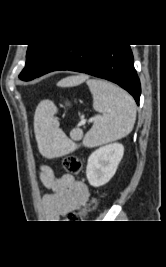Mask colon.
Here are the masks:
<instances>
[{"label": "colon", "instance_id": "obj_1", "mask_svg": "<svg viewBox=\"0 0 166 267\" xmlns=\"http://www.w3.org/2000/svg\"><path fill=\"white\" fill-rule=\"evenodd\" d=\"M62 164L66 172L71 175H77L82 170V161L74 155L65 156L62 160ZM98 203V199H93L86 208L82 209L81 211L71 213L69 220H72L71 222H81L85 219L89 212L97 208Z\"/></svg>", "mask_w": 166, "mask_h": 267}]
</instances>
